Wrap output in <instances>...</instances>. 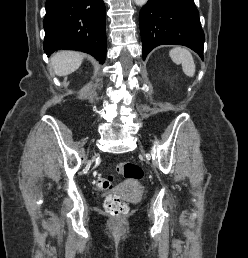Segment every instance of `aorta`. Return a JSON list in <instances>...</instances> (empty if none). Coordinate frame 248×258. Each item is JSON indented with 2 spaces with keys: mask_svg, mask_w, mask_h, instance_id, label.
<instances>
[{
  "mask_svg": "<svg viewBox=\"0 0 248 258\" xmlns=\"http://www.w3.org/2000/svg\"><path fill=\"white\" fill-rule=\"evenodd\" d=\"M147 0H134V3L138 6L146 4Z\"/></svg>",
  "mask_w": 248,
  "mask_h": 258,
  "instance_id": "obj_1",
  "label": "aorta"
}]
</instances>
